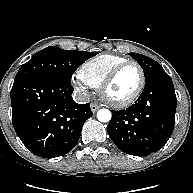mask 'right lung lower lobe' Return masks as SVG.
Returning <instances> with one entry per match:
<instances>
[{
    "mask_svg": "<svg viewBox=\"0 0 193 193\" xmlns=\"http://www.w3.org/2000/svg\"><path fill=\"white\" fill-rule=\"evenodd\" d=\"M68 82L45 76L14 81L12 121L23 144L43 158L62 156L77 144L82 126L93 115L90 104L72 99Z\"/></svg>",
    "mask_w": 193,
    "mask_h": 193,
    "instance_id": "1",
    "label": "right lung lower lobe"
}]
</instances>
